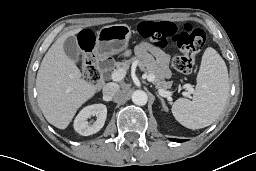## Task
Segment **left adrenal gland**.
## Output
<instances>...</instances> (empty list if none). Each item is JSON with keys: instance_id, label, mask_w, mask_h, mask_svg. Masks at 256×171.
Listing matches in <instances>:
<instances>
[{"instance_id": "left-adrenal-gland-1", "label": "left adrenal gland", "mask_w": 256, "mask_h": 171, "mask_svg": "<svg viewBox=\"0 0 256 171\" xmlns=\"http://www.w3.org/2000/svg\"><path fill=\"white\" fill-rule=\"evenodd\" d=\"M157 97L160 99V101L162 102V105H163V109L166 110L167 109V106H166V103L165 101L163 100V98L157 94Z\"/></svg>"}]
</instances>
